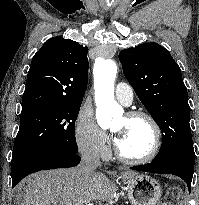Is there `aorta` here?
Here are the masks:
<instances>
[{
	"label": "aorta",
	"mask_w": 199,
	"mask_h": 205,
	"mask_svg": "<svg viewBox=\"0 0 199 205\" xmlns=\"http://www.w3.org/2000/svg\"><path fill=\"white\" fill-rule=\"evenodd\" d=\"M117 65L111 59L100 60L94 68L96 118L100 126L108 125L112 117L122 113L121 106L114 100V80Z\"/></svg>",
	"instance_id": "aorta-1"
}]
</instances>
